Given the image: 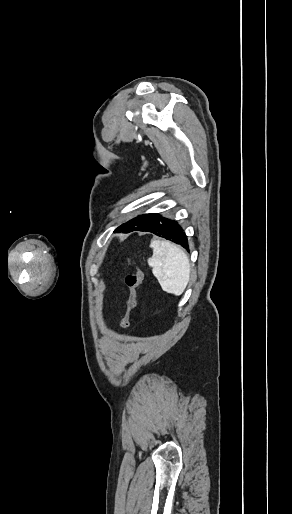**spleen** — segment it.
<instances>
[{
    "label": "spleen",
    "instance_id": "1",
    "mask_svg": "<svg viewBox=\"0 0 292 514\" xmlns=\"http://www.w3.org/2000/svg\"><path fill=\"white\" fill-rule=\"evenodd\" d=\"M150 248L153 256L148 258V266L157 278L163 292L180 296L190 280V264L184 250L170 244L152 240Z\"/></svg>",
    "mask_w": 292,
    "mask_h": 514
}]
</instances>
